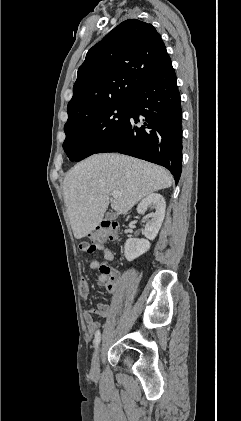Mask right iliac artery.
I'll use <instances>...</instances> for the list:
<instances>
[{"label":"right iliac artery","mask_w":241,"mask_h":421,"mask_svg":"<svg viewBox=\"0 0 241 421\" xmlns=\"http://www.w3.org/2000/svg\"><path fill=\"white\" fill-rule=\"evenodd\" d=\"M100 340H101V334H100V331L98 330L95 333V339H94V346H95V348L98 347V345L100 343Z\"/></svg>","instance_id":"obj_1"}]
</instances>
